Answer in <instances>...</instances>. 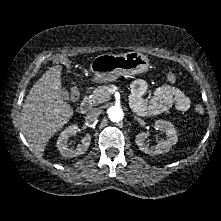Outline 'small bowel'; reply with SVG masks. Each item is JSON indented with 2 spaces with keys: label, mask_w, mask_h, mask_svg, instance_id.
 <instances>
[{
  "label": "small bowel",
  "mask_w": 221,
  "mask_h": 221,
  "mask_svg": "<svg viewBox=\"0 0 221 221\" xmlns=\"http://www.w3.org/2000/svg\"><path fill=\"white\" fill-rule=\"evenodd\" d=\"M148 90L149 85L144 80H136L131 85L130 104L139 114H160L173 106L182 112L190 108L189 97L175 86L165 84L157 87L149 102H145L143 96Z\"/></svg>",
  "instance_id": "1"
}]
</instances>
